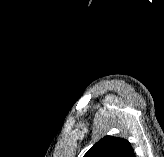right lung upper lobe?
<instances>
[{"label":"right lung upper lobe","instance_id":"right-lung-upper-lobe-1","mask_svg":"<svg viewBox=\"0 0 164 157\" xmlns=\"http://www.w3.org/2000/svg\"><path fill=\"white\" fill-rule=\"evenodd\" d=\"M83 157H134V150L126 139L106 136Z\"/></svg>","mask_w":164,"mask_h":157}]
</instances>
